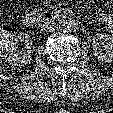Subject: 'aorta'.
I'll return each instance as SVG.
<instances>
[{
	"instance_id": "1",
	"label": "aorta",
	"mask_w": 113,
	"mask_h": 113,
	"mask_svg": "<svg viewBox=\"0 0 113 113\" xmlns=\"http://www.w3.org/2000/svg\"><path fill=\"white\" fill-rule=\"evenodd\" d=\"M65 32H75L78 29V21L75 18H67L63 22Z\"/></svg>"
}]
</instances>
